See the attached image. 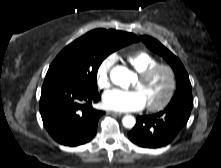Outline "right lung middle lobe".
<instances>
[{"mask_svg":"<svg viewBox=\"0 0 221 168\" xmlns=\"http://www.w3.org/2000/svg\"><path fill=\"white\" fill-rule=\"evenodd\" d=\"M132 43L123 36L93 30L67 45L54 59L45 80H61L97 90V71L112 52Z\"/></svg>","mask_w":221,"mask_h":168,"instance_id":"obj_1","label":"right lung middle lobe"}]
</instances>
